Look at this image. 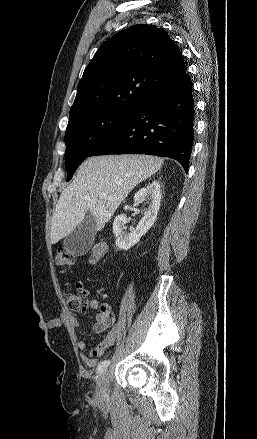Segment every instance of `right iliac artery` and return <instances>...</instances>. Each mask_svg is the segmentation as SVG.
I'll list each match as a JSON object with an SVG mask.
<instances>
[{
	"label": "right iliac artery",
	"instance_id": "1",
	"mask_svg": "<svg viewBox=\"0 0 257 439\" xmlns=\"http://www.w3.org/2000/svg\"><path fill=\"white\" fill-rule=\"evenodd\" d=\"M109 364H110V361H109V360L101 361V362L98 364V367H97V374H98L99 376H100L101 374H103V372L106 371V369H107V367L109 366Z\"/></svg>",
	"mask_w": 257,
	"mask_h": 439
}]
</instances>
